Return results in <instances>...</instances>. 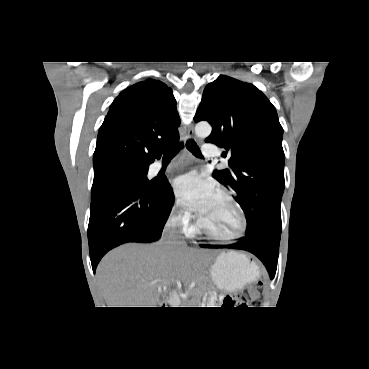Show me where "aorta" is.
I'll return each instance as SVG.
<instances>
[{
	"label": "aorta",
	"instance_id": "762f6f07",
	"mask_svg": "<svg viewBox=\"0 0 369 369\" xmlns=\"http://www.w3.org/2000/svg\"><path fill=\"white\" fill-rule=\"evenodd\" d=\"M212 128L207 122H199L195 126V134L199 138H205L210 135Z\"/></svg>",
	"mask_w": 369,
	"mask_h": 369
}]
</instances>
